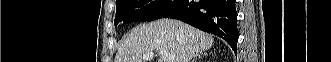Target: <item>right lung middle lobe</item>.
<instances>
[{
	"label": "right lung middle lobe",
	"instance_id": "obj_1",
	"mask_svg": "<svg viewBox=\"0 0 331 62\" xmlns=\"http://www.w3.org/2000/svg\"><path fill=\"white\" fill-rule=\"evenodd\" d=\"M180 0H118L116 1L115 26L131 22H148L162 18Z\"/></svg>",
	"mask_w": 331,
	"mask_h": 62
}]
</instances>
